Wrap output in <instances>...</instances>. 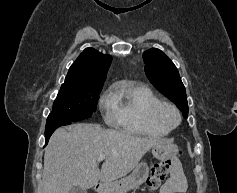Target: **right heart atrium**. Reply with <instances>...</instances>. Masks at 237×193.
Masks as SVG:
<instances>
[{
	"label": "right heart atrium",
	"instance_id": "d8ad5b80",
	"mask_svg": "<svg viewBox=\"0 0 237 193\" xmlns=\"http://www.w3.org/2000/svg\"><path fill=\"white\" fill-rule=\"evenodd\" d=\"M99 106L101 110L104 112L106 119L110 121V117L113 111L110 93H106L105 95L101 97L99 101Z\"/></svg>",
	"mask_w": 237,
	"mask_h": 193
}]
</instances>
